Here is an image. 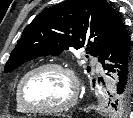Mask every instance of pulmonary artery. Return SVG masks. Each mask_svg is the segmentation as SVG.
Listing matches in <instances>:
<instances>
[{"mask_svg": "<svg viewBox=\"0 0 133 118\" xmlns=\"http://www.w3.org/2000/svg\"><path fill=\"white\" fill-rule=\"evenodd\" d=\"M93 62L97 64L99 70L102 69V65H101V63L98 61L97 58H94V59H93Z\"/></svg>", "mask_w": 133, "mask_h": 118, "instance_id": "pulmonary-artery-1", "label": "pulmonary artery"}]
</instances>
